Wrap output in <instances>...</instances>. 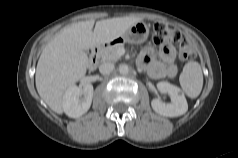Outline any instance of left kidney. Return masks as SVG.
I'll use <instances>...</instances> for the list:
<instances>
[{
    "instance_id": "1",
    "label": "left kidney",
    "mask_w": 238,
    "mask_h": 158,
    "mask_svg": "<svg viewBox=\"0 0 238 158\" xmlns=\"http://www.w3.org/2000/svg\"><path fill=\"white\" fill-rule=\"evenodd\" d=\"M160 92L167 93L171 98V103L162 102L160 99H153L151 106L153 110L166 117H178L185 114L188 110L186 98L181 89L166 81L157 84Z\"/></svg>"
}]
</instances>
